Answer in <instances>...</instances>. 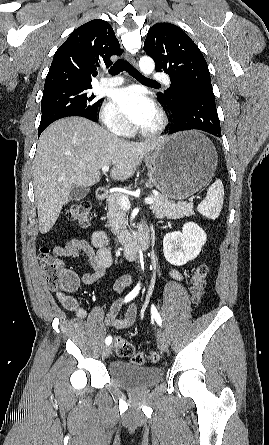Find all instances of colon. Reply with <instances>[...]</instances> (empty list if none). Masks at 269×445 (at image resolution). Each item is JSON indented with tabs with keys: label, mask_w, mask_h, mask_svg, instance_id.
I'll list each match as a JSON object with an SVG mask.
<instances>
[{
	"label": "colon",
	"mask_w": 269,
	"mask_h": 445,
	"mask_svg": "<svg viewBox=\"0 0 269 445\" xmlns=\"http://www.w3.org/2000/svg\"><path fill=\"white\" fill-rule=\"evenodd\" d=\"M67 218L81 227H87L92 221L91 204L81 201L73 204L67 211ZM39 258L46 285L51 289H59L64 293L76 289L77 283L63 267L61 260L54 256L48 248H41ZM209 268L206 264L198 265L191 277L190 295L192 303L199 305L204 297L207 285ZM115 352L118 356L129 358L133 364L141 365L145 362L157 363L159 354L155 351L135 353L134 346L126 339L116 337L114 340Z\"/></svg>",
	"instance_id": "colon-1"
}]
</instances>
